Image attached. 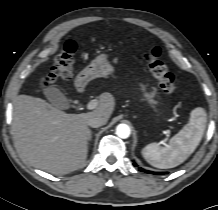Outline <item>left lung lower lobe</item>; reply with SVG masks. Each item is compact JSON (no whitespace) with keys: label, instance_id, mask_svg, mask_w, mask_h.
<instances>
[{"label":"left lung lower lobe","instance_id":"0a47b994","mask_svg":"<svg viewBox=\"0 0 218 210\" xmlns=\"http://www.w3.org/2000/svg\"><path fill=\"white\" fill-rule=\"evenodd\" d=\"M133 165H134V166H137L136 163H133ZM139 170H140V171H144V172H146V173H150V174H159V175L165 174L164 172H152V171L144 170V169H142L141 167H139Z\"/></svg>","mask_w":218,"mask_h":210}]
</instances>
